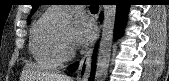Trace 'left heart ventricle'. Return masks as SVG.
Wrapping results in <instances>:
<instances>
[{
    "label": "left heart ventricle",
    "mask_w": 169,
    "mask_h": 81,
    "mask_svg": "<svg viewBox=\"0 0 169 81\" xmlns=\"http://www.w3.org/2000/svg\"><path fill=\"white\" fill-rule=\"evenodd\" d=\"M60 35L63 39V41L70 46V34H71V27H67L64 29H61L60 31Z\"/></svg>",
    "instance_id": "b2bd125f"
}]
</instances>
